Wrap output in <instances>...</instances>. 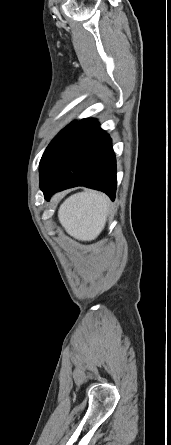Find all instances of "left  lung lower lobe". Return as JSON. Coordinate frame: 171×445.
Listing matches in <instances>:
<instances>
[{
	"label": "left lung lower lobe",
	"mask_w": 171,
	"mask_h": 445,
	"mask_svg": "<svg viewBox=\"0 0 171 445\" xmlns=\"http://www.w3.org/2000/svg\"><path fill=\"white\" fill-rule=\"evenodd\" d=\"M116 160L111 139L94 119L76 122L59 140L40 167L45 199L60 190L85 186L116 192Z\"/></svg>",
	"instance_id": "1"
}]
</instances>
